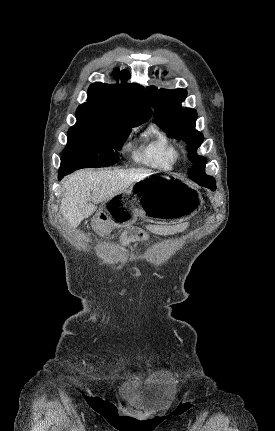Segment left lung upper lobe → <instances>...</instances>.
Segmentation results:
<instances>
[{"label":"left lung upper lobe","instance_id":"obj_1","mask_svg":"<svg viewBox=\"0 0 275 431\" xmlns=\"http://www.w3.org/2000/svg\"><path fill=\"white\" fill-rule=\"evenodd\" d=\"M148 98L154 110V121L163 130L176 139L187 143L188 158L194 163L188 174H206V159L197 155L196 149L202 144L203 134L195 130L197 112L191 108H182L180 103L185 100L187 91L147 87Z\"/></svg>","mask_w":275,"mask_h":431}]
</instances>
